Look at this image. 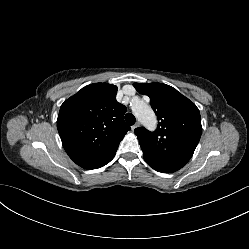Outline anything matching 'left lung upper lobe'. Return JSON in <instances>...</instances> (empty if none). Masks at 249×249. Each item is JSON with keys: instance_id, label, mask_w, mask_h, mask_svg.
Returning a JSON list of instances; mask_svg holds the SVG:
<instances>
[{"instance_id": "obj_1", "label": "left lung upper lobe", "mask_w": 249, "mask_h": 249, "mask_svg": "<svg viewBox=\"0 0 249 249\" xmlns=\"http://www.w3.org/2000/svg\"><path fill=\"white\" fill-rule=\"evenodd\" d=\"M133 85L139 93L149 96L158 119V127L154 132L143 127L135 129L145 161L149 164L182 168L192 157L201 137L198 108L169 85Z\"/></svg>"}]
</instances>
